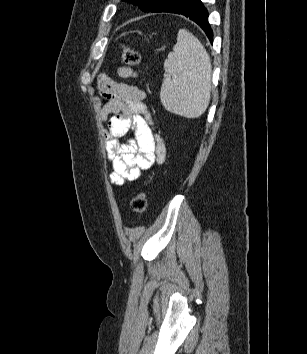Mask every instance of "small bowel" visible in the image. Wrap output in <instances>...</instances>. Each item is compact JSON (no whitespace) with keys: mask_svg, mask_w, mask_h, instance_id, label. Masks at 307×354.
Segmentation results:
<instances>
[{"mask_svg":"<svg viewBox=\"0 0 307 354\" xmlns=\"http://www.w3.org/2000/svg\"><path fill=\"white\" fill-rule=\"evenodd\" d=\"M118 74L123 79L135 77L132 69L121 67ZM102 87L110 96L102 107L100 117L107 124L105 149L112 165L111 181L124 185L140 177L141 171L154 163H162L166 149L162 139L152 130V119L144 104L145 92L135 85L103 80ZM109 94V95H108ZM133 131L126 142L120 138Z\"/></svg>","mask_w":307,"mask_h":354,"instance_id":"obj_1","label":"small bowel"}]
</instances>
